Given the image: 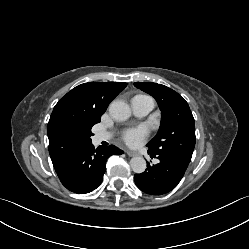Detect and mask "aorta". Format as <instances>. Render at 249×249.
Returning <instances> with one entry per match:
<instances>
[{
	"instance_id": "obj_1",
	"label": "aorta",
	"mask_w": 249,
	"mask_h": 249,
	"mask_svg": "<svg viewBox=\"0 0 249 249\" xmlns=\"http://www.w3.org/2000/svg\"><path fill=\"white\" fill-rule=\"evenodd\" d=\"M109 113L116 121H125L131 116V109L124 101L116 100L109 105ZM133 172L140 174L146 170V161L143 157L136 156L130 160Z\"/></svg>"
}]
</instances>
